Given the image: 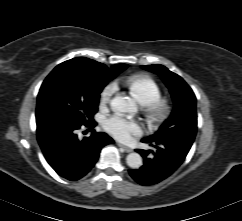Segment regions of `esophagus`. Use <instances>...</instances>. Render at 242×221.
I'll return each instance as SVG.
<instances>
[{
    "mask_svg": "<svg viewBox=\"0 0 242 221\" xmlns=\"http://www.w3.org/2000/svg\"><path fill=\"white\" fill-rule=\"evenodd\" d=\"M118 146H119L120 148H122V149H123L125 152H127V153H130V152L133 151L131 148H129V147H127V146H124V145H122V144H118Z\"/></svg>",
    "mask_w": 242,
    "mask_h": 221,
    "instance_id": "34e87169",
    "label": "esophagus"
}]
</instances>
